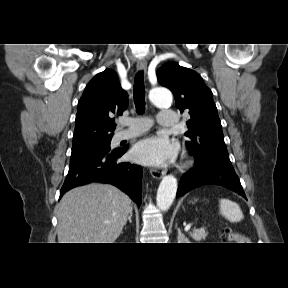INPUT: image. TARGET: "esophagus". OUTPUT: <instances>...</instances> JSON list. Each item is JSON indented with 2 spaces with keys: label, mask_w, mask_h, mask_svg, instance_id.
Returning a JSON list of instances; mask_svg holds the SVG:
<instances>
[{
  "label": "esophagus",
  "mask_w": 288,
  "mask_h": 288,
  "mask_svg": "<svg viewBox=\"0 0 288 288\" xmlns=\"http://www.w3.org/2000/svg\"><path fill=\"white\" fill-rule=\"evenodd\" d=\"M147 68V62L145 59H140L137 62V70L138 71H146ZM150 174L152 175L153 178L155 179H161L164 175V172H161L157 169H151Z\"/></svg>",
  "instance_id": "obj_1"
}]
</instances>
